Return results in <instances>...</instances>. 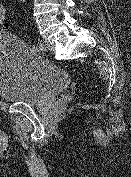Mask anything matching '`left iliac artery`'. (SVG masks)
<instances>
[{"mask_svg":"<svg viewBox=\"0 0 131 177\" xmlns=\"http://www.w3.org/2000/svg\"><path fill=\"white\" fill-rule=\"evenodd\" d=\"M36 47H37V49H39V50H42V49L44 48L43 43H41V42H38V43L36 44Z\"/></svg>","mask_w":131,"mask_h":177,"instance_id":"obj_1","label":"left iliac artery"}]
</instances>
